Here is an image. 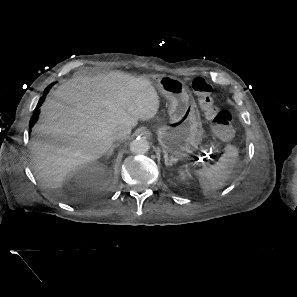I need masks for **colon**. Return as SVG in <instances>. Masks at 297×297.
I'll use <instances>...</instances> for the list:
<instances>
[{"mask_svg":"<svg viewBox=\"0 0 297 297\" xmlns=\"http://www.w3.org/2000/svg\"><path fill=\"white\" fill-rule=\"evenodd\" d=\"M191 87L198 98L201 110L212 122L214 134L223 140L230 139L233 135L231 113L215 106L212 88L209 83L203 78H195L191 83Z\"/></svg>","mask_w":297,"mask_h":297,"instance_id":"5ec220e1","label":"colon"}]
</instances>
